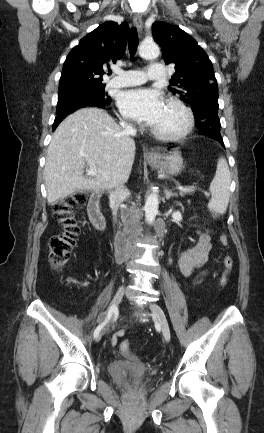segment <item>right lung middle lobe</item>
Wrapping results in <instances>:
<instances>
[{
    "label": "right lung middle lobe",
    "mask_w": 264,
    "mask_h": 433,
    "mask_svg": "<svg viewBox=\"0 0 264 433\" xmlns=\"http://www.w3.org/2000/svg\"><path fill=\"white\" fill-rule=\"evenodd\" d=\"M104 89V84H98L92 86L72 87L60 92L58 95L56 110L57 116H61L68 112L69 107L78 101L97 99L105 103H110L111 98L104 91Z\"/></svg>",
    "instance_id": "right-lung-middle-lobe-1"
}]
</instances>
